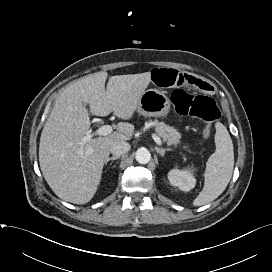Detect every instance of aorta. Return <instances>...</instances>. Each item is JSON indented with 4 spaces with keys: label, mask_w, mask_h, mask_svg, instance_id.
Returning <instances> with one entry per match:
<instances>
[{
    "label": "aorta",
    "mask_w": 272,
    "mask_h": 272,
    "mask_svg": "<svg viewBox=\"0 0 272 272\" xmlns=\"http://www.w3.org/2000/svg\"><path fill=\"white\" fill-rule=\"evenodd\" d=\"M135 159L140 164H147L151 160V154L146 148H139L135 154Z\"/></svg>",
    "instance_id": "aorta-1"
}]
</instances>
